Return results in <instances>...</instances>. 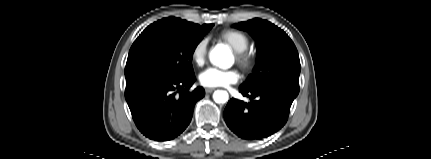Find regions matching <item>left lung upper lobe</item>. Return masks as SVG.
I'll return each mask as SVG.
<instances>
[{
  "label": "left lung upper lobe",
  "mask_w": 431,
  "mask_h": 159,
  "mask_svg": "<svg viewBox=\"0 0 431 159\" xmlns=\"http://www.w3.org/2000/svg\"><path fill=\"white\" fill-rule=\"evenodd\" d=\"M245 30L256 40L257 61L253 73L241 85L257 88L274 81L299 87L300 61L297 49L289 36L280 28L255 18L234 25Z\"/></svg>",
  "instance_id": "5c2ea615"
}]
</instances>
